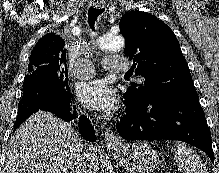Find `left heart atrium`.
I'll use <instances>...</instances> for the list:
<instances>
[{
	"label": "left heart atrium",
	"mask_w": 219,
	"mask_h": 173,
	"mask_svg": "<svg viewBox=\"0 0 219 173\" xmlns=\"http://www.w3.org/2000/svg\"><path fill=\"white\" fill-rule=\"evenodd\" d=\"M77 96L84 106L105 114H111L117 107L115 90L102 79L80 83Z\"/></svg>",
	"instance_id": "1"
}]
</instances>
